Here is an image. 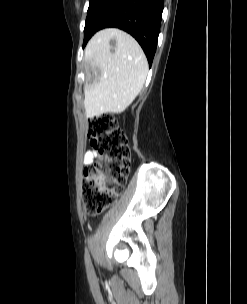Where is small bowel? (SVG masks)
I'll return each mask as SVG.
<instances>
[{
    "mask_svg": "<svg viewBox=\"0 0 247 304\" xmlns=\"http://www.w3.org/2000/svg\"><path fill=\"white\" fill-rule=\"evenodd\" d=\"M98 157V154L95 150H89L84 155V164L86 166L93 163V161Z\"/></svg>",
    "mask_w": 247,
    "mask_h": 304,
    "instance_id": "c3829d8e",
    "label": "small bowel"
}]
</instances>
